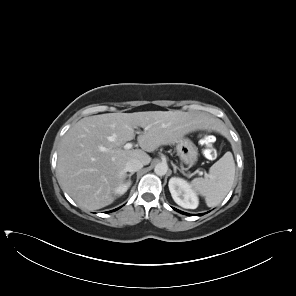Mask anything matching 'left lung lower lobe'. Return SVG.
I'll return each mask as SVG.
<instances>
[{"mask_svg": "<svg viewBox=\"0 0 296 296\" xmlns=\"http://www.w3.org/2000/svg\"><path fill=\"white\" fill-rule=\"evenodd\" d=\"M176 211H178V212H180V213H182V214H186V215H189V214H187V213H184V212H181V211H179V210H177V209H175ZM199 216L200 215H203V214H198Z\"/></svg>", "mask_w": 296, "mask_h": 296, "instance_id": "1", "label": "left lung lower lobe"}]
</instances>
